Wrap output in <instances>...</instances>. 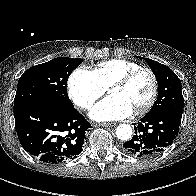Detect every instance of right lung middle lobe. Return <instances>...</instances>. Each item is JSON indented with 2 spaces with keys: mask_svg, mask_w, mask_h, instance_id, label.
<instances>
[{
  "mask_svg": "<svg viewBox=\"0 0 196 196\" xmlns=\"http://www.w3.org/2000/svg\"><path fill=\"white\" fill-rule=\"evenodd\" d=\"M82 62L81 58L60 57L29 68L18 81L14 107L36 99L73 107L66 84L71 72Z\"/></svg>",
  "mask_w": 196,
  "mask_h": 196,
  "instance_id": "right-lung-middle-lobe-1",
  "label": "right lung middle lobe"
}]
</instances>
